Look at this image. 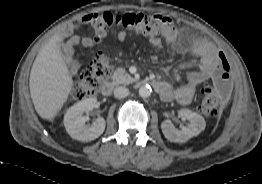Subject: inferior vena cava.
I'll return each instance as SVG.
<instances>
[{
  "instance_id": "obj_1",
  "label": "inferior vena cava",
  "mask_w": 262,
  "mask_h": 184,
  "mask_svg": "<svg viewBox=\"0 0 262 184\" xmlns=\"http://www.w3.org/2000/svg\"><path fill=\"white\" fill-rule=\"evenodd\" d=\"M129 89L123 86L114 89V96L118 99L125 98L129 95Z\"/></svg>"
}]
</instances>
